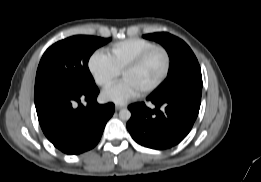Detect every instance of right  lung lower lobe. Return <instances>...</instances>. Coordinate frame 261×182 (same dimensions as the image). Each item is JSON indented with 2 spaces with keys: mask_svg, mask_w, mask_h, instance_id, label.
Listing matches in <instances>:
<instances>
[{
  "mask_svg": "<svg viewBox=\"0 0 261 182\" xmlns=\"http://www.w3.org/2000/svg\"><path fill=\"white\" fill-rule=\"evenodd\" d=\"M98 93L97 88L81 95L62 85L35 91L40 126L56 148L66 154H80L96 146L114 113L113 103H97ZM82 100L86 101V106L81 104Z\"/></svg>",
  "mask_w": 261,
  "mask_h": 182,
  "instance_id": "obj_1",
  "label": "right lung lower lobe"
}]
</instances>
